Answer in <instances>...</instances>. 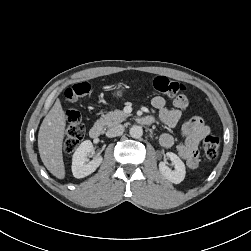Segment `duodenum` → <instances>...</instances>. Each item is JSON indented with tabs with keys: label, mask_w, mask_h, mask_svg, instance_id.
<instances>
[{
	"label": "duodenum",
	"mask_w": 251,
	"mask_h": 251,
	"mask_svg": "<svg viewBox=\"0 0 251 251\" xmlns=\"http://www.w3.org/2000/svg\"><path fill=\"white\" fill-rule=\"evenodd\" d=\"M138 122L142 125H151L153 123V119L150 116H142L138 118ZM103 129L99 125L93 126L89 131V136L92 139H97L102 135Z\"/></svg>",
	"instance_id": "duodenum-1"
}]
</instances>
